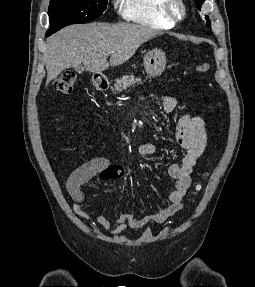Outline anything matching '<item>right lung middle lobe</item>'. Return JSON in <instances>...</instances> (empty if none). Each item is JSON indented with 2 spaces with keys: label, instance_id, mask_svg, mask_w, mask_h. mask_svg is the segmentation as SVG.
Listing matches in <instances>:
<instances>
[{
  "label": "right lung middle lobe",
  "instance_id": "1",
  "mask_svg": "<svg viewBox=\"0 0 255 287\" xmlns=\"http://www.w3.org/2000/svg\"><path fill=\"white\" fill-rule=\"evenodd\" d=\"M107 5L108 0H50L47 34L71 24L94 20L103 14Z\"/></svg>",
  "mask_w": 255,
  "mask_h": 287
}]
</instances>
